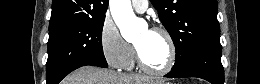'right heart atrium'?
Returning <instances> with one entry per match:
<instances>
[{"mask_svg":"<svg viewBox=\"0 0 260 84\" xmlns=\"http://www.w3.org/2000/svg\"><path fill=\"white\" fill-rule=\"evenodd\" d=\"M99 44L103 58L113 68H125L135 54L110 16H106L101 24Z\"/></svg>","mask_w":260,"mask_h":84,"instance_id":"d8ad5b80","label":"right heart atrium"}]
</instances>
